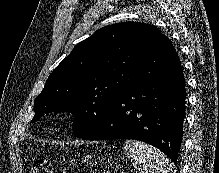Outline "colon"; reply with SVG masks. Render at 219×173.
Listing matches in <instances>:
<instances>
[{
	"label": "colon",
	"mask_w": 219,
	"mask_h": 173,
	"mask_svg": "<svg viewBox=\"0 0 219 173\" xmlns=\"http://www.w3.org/2000/svg\"><path fill=\"white\" fill-rule=\"evenodd\" d=\"M31 173H52L51 163L45 159H37L34 161Z\"/></svg>",
	"instance_id": "5ec220e1"
}]
</instances>
